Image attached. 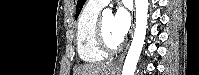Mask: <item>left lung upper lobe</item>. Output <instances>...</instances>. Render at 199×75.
Listing matches in <instances>:
<instances>
[{"label":"left lung upper lobe","instance_id":"1","mask_svg":"<svg viewBox=\"0 0 199 75\" xmlns=\"http://www.w3.org/2000/svg\"><path fill=\"white\" fill-rule=\"evenodd\" d=\"M86 0H78L77 1V6H76V18L78 17L84 3H85Z\"/></svg>","mask_w":199,"mask_h":75}]
</instances>
